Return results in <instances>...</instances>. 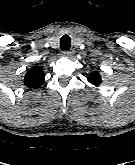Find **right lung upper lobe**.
Wrapping results in <instances>:
<instances>
[{
  "instance_id": "1",
  "label": "right lung upper lobe",
  "mask_w": 135,
  "mask_h": 165,
  "mask_svg": "<svg viewBox=\"0 0 135 165\" xmlns=\"http://www.w3.org/2000/svg\"><path fill=\"white\" fill-rule=\"evenodd\" d=\"M45 80V74L41 67H34L27 71L24 78V85L30 89L40 87Z\"/></svg>"
}]
</instances>
